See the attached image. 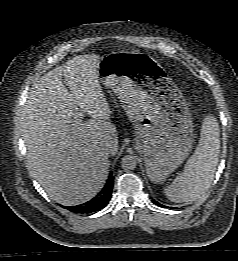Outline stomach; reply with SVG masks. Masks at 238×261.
Returning a JSON list of instances; mask_svg holds the SVG:
<instances>
[{"mask_svg":"<svg viewBox=\"0 0 238 261\" xmlns=\"http://www.w3.org/2000/svg\"><path fill=\"white\" fill-rule=\"evenodd\" d=\"M97 76L117 95L132 122L135 148L148 177L162 183L185 160L194 142L181 90L145 55L107 54L99 60Z\"/></svg>","mask_w":238,"mask_h":261,"instance_id":"1","label":"stomach"}]
</instances>
